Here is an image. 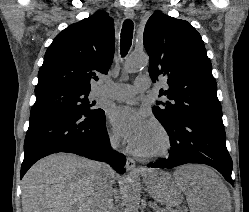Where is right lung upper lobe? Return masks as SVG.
<instances>
[{
  "mask_svg": "<svg viewBox=\"0 0 249 212\" xmlns=\"http://www.w3.org/2000/svg\"><path fill=\"white\" fill-rule=\"evenodd\" d=\"M114 23L105 11L72 24L48 47L35 95L54 91L90 92L91 79L107 74L114 56Z\"/></svg>",
  "mask_w": 249,
  "mask_h": 212,
  "instance_id": "cb5924a9",
  "label": "right lung upper lobe"
}]
</instances>
